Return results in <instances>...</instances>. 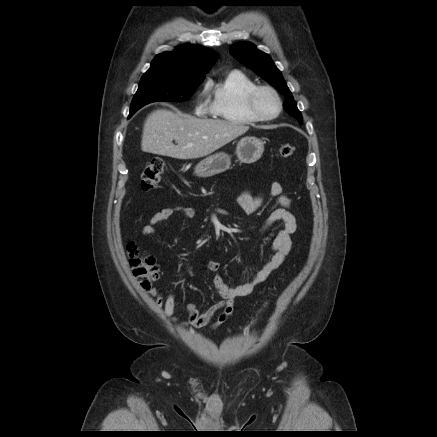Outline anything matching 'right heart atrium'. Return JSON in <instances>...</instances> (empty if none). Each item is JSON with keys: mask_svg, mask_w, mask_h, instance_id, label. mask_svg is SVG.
Instances as JSON below:
<instances>
[{"mask_svg": "<svg viewBox=\"0 0 437 437\" xmlns=\"http://www.w3.org/2000/svg\"><path fill=\"white\" fill-rule=\"evenodd\" d=\"M196 111L200 114H204L207 112V105L203 100V94H200L197 99Z\"/></svg>", "mask_w": 437, "mask_h": 437, "instance_id": "right-heart-atrium-1", "label": "right heart atrium"}]
</instances>
